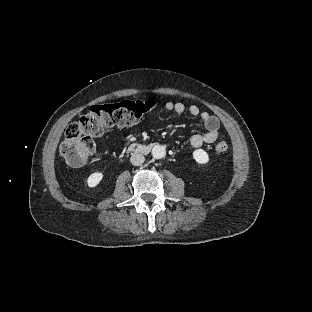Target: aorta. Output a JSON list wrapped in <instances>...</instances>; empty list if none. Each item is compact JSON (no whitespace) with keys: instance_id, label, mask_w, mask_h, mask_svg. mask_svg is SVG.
<instances>
[{"instance_id":"1","label":"aorta","mask_w":312,"mask_h":312,"mask_svg":"<svg viewBox=\"0 0 312 312\" xmlns=\"http://www.w3.org/2000/svg\"><path fill=\"white\" fill-rule=\"evenodd\" d=\"M151 154L154 159H162L166 155L165 147L162 145H154L151 149Z\"/></svg>"}]
</instances>
